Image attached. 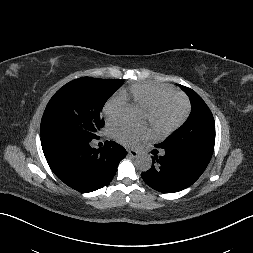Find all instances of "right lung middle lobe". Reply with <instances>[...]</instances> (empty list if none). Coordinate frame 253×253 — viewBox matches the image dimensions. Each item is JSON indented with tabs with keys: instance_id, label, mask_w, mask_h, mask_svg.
<instances>
[{
	"instance_id": "right-lung-middle-lobe-1",
	"label": "right lung middle lobe",
	"mask_w": 253,
	"mask_h": 253,
	"mask_svg": "<svg viewBox=\"0 0 253 253\" xmlns=\"http://www.w3.org/2000/svg\"><path fill=\"white\" fill-rule=\"evenodd\" d=\"M123 83V80L82 77L65 84L46 106L40 136L98 138L97 132L104 126L102 108Z\"/></svg>"
}]
</instances>
